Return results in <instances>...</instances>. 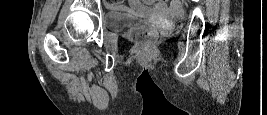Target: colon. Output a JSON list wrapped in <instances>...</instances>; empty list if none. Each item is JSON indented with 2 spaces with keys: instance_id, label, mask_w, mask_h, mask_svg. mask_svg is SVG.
Segmentation results:
<instances>
[{
  "instance_id": "1",
  "label": "colon",
  "mask_w": 267,
  "mask_h": 115,
  "mask_svg": "<svg viewBox=\"0 0 267 115\" xmlns=\"http://www.w3.org/2000/svg\"><path fill=\"white\" fill-rule=\"evenodd\" d=\"M137 38L144 42H152L158 37V32L152 28H143L136 34Z\"/></svg>"
}]
</instances>
